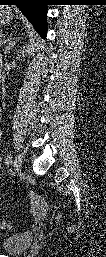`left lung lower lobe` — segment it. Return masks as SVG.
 <instances>
[{"label":"left lung lower lobe","mask_w":106,"mask_h":257,"mask_svg":"<svg viewBox=\"0 0 106 257\" xmlns=\"http://www.w3.org/2000/svg\"><path fill=\"white\" fill-rule=\"evenodd\" d=\"M45 2V0H0L1 4L16 5L43 38L47 33Z\"/></svg>","instance_id":"0a47b994"}]
</instances>
